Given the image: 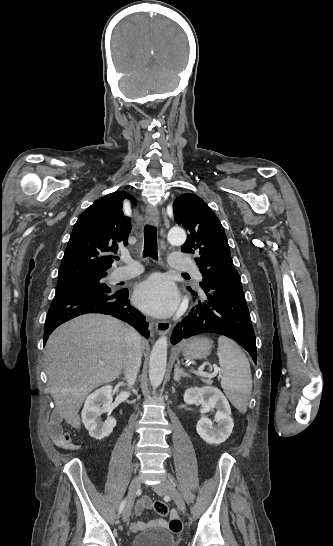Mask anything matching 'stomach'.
<instances>
[{
    "mask_svg": "<svg viewBox=\"0 0 333 546\" xmlns=\"http://www.w3.org/2000/svg\"><path fill=\"white\" fill-rule=\"evenodd\" d=\"M212 348V341L206 337H193L192 339L182 343L179 351L185 358L202 359L206 358Z\"/></svg>",
    "mask_w": 333,
    "mask_h": 546,
    "instance_id": "stomach-1",
    "label": "stomach"
}]
</instances>
